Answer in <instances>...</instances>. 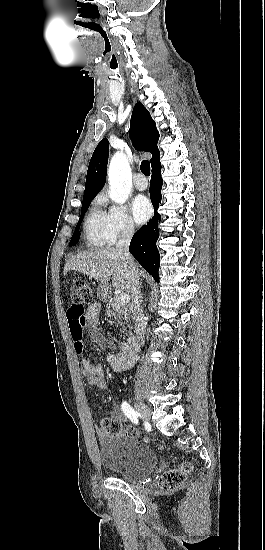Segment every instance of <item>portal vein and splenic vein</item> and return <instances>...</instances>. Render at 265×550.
Returning a JSON list of instances; mask_svg holds the SVG:
<instances>
[{
  "label": "portal vein and splenic vein",
  "mask_w": 265,
  "mask_h": 550,
  "mask_svg": "<svg viewBox=\"0 0 265 550\" xmlns=\"http://www.w3.org/2000/svg\"><path fill=\"white\" fill-rule=\"evenodd\" d=\"M119 299H120V302H121V303H129V301H130V296H129V294H127V293H122V294H120Z\"/></svg>",
  "instance_id": "18ae733b"
}]
</instances>
